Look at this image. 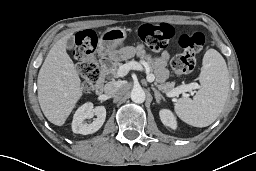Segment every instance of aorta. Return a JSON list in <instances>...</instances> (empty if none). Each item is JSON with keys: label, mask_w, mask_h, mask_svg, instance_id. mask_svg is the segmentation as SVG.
Masks as SVG:
<instances>
[{"label": "aorta", "mask_w": 256, "mask_h": 171, "mask_svg": "<svg viewBox=\"0 0 256 171\" xmlns=\"http://www.w3.org/2000/svg\"><path fill=\"white\" fill-rule=\"evenodd\" d=\"M131 100L135 103H143L146 98V94L141 87H134L131 90Z\"/></svg>", "instance_id": "obj_1"}]
</instances>
